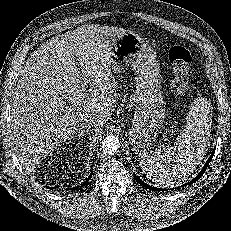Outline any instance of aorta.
<instances>
[{"mask_svg":"<svg viewBox=\"0 0 231 231\" xmlns=\"http://www.w3.org/2000/svg\"><path fill=\"white\" fill-rule=\"evenodd\" d=\"M120 147V140L116 135H108L101 142L100 149L105 155L115 154Z\"/></svg>","mask_w":231,"mask_h":231,"instance_id":"aorta-1","label":"aorta"}]
</instances>
